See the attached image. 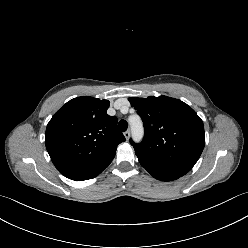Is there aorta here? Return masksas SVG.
Here are the masks:
<instances>
[{
    "mask_svg": "<svg viewBox=\"0 0 248 248\" xmlns=\"http://www.w3.org/2000/svg\"><path fill=\"white\" fill-rule=\"evenodd\" d=\"M132 136L135 141H140L143 137V127L140 119L131 123Z\"/></svg>",
    "mask_w": 248,
    "mask_h": 248,
    "instance_id": "1",
    "label": "aorta"
}]
</instances>
